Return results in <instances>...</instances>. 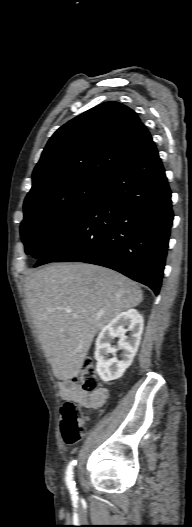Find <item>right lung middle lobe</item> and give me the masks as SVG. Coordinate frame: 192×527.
<instances>
[{
	"label": "right lung middle lobe",
	"mask_w": 192,
	"mask_h": 527,
	"mask_svg": "<svg viewBox=\"0 0 192 527\" xmlns=\"http://www.w3.org/2000/svg\"><path fill=\"white\" fill-rule=\"evenodd\" d=\"M105 184L83 180L26 200L20 226L25 252L41 258L84 215Z\"/></svg>",
	"instance_id": "1"
}]
</instances>
